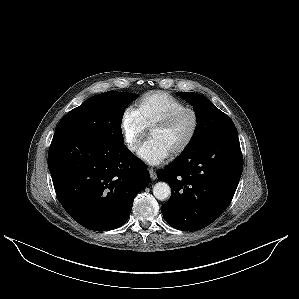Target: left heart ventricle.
Returning a JSON list of instances; mask_svg holds the SVG:
<instances>
[{"mask_svg": "<svg viewBox=\"0 0 299 299\" xmlns=\"http://www.w3.org/2000/svg\"><path fill=\"white\" fill-rule=\"evenodd\" d=\"M192 126V117L186 115L169 128L153 130L150 133V138L159 140L172 153L187 139Z\"/></svg>", "mask_w": 299, "mask_h": 299, "instance_id": "obj_1", "label": "left heart ventricle"}]
</instances>
